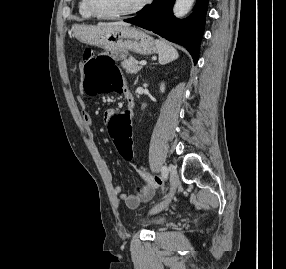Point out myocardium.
<instances>
[{"label":"myocardium","instance_id":"obj_1","mask_svg":"<svg viewBox=\"0 0 286 269\" xmlns=\"http://www.w3.org/2000/svg\"><path fill=\"white\" fill-rule=\"evenodd\" d=\"M152 1L153 0H142L134 8L124 11V12L116 13V14H104V13L99 12L94 7L93 0H86V4H87L88 10L94 17H97L99 19L112 20V19H121V18H125V17L138 14L141 11H143Z\"/></svg>","mask_w":286,"mask_h":269}]
</instances>
